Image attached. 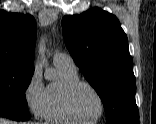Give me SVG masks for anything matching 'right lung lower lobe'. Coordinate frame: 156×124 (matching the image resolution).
Returning <instances> with one entry per match:
<instances>
[{
  "label": "right lung lower lobe",
  "mask_w": 156,
  "mask_h": 124,
  "mask_svg": "<svg viewBox=\"0 0 156 124\" xmlns=\"http://www.w3.org/2000/svg\"><path fill=\"white\" fill-rule=\"evenodd\" d=\"M0 117L9 118L15 121H26L30 119V113L28 110L0 105Z\"/></svg>",
  "instance_id": "1"
}]
</instances>
